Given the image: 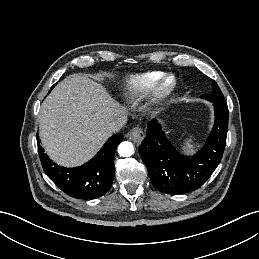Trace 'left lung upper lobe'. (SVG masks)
<instances>
[{"instance_id": "5c2ea615", "label": "left lung upper lobe", "mask_w": 259, "mask_h": 259, "mask_svg": "<svg viewBox=\"0 0 259 259\" xmlns=\"http://www.w3.org/2000/svg\"><path fill=\"white\" fill-rule=\"evenodd\" d=\"M213 92L211 94L203 95L202 98H205L211 102H223L225 101L224 95L222 94L220 88L217 83L213 81Z\"/></svg>"}]
</instances>
